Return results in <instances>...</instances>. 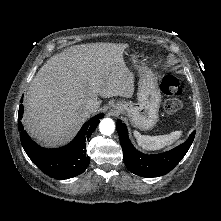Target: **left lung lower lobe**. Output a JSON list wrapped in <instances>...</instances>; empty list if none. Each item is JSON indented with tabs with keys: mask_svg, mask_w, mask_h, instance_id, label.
Returning <instances> with one entry per match:
<instances>
[{
	"mask_svg": "<svg viewBox=\"0 0 221 221\" xmlns=\"http://www.w3.org/2000/svg\"><path fill=\"white\" fill-rule=\"evenodd\" d=\"M116 126L127 169L142 177H158L170 172L185 156L195 137L193 131L184 143L174 149L161 154L148 155L132 146L125 124L118 120Z\"/></svg>",
	"mask_w": 221,
	"mask_h": 221,
	"instance_id": "obj_1",
	"label": "left lung lower lobe"
}]
</instances>
